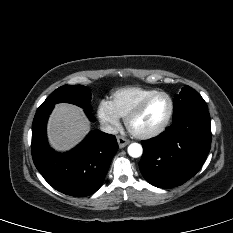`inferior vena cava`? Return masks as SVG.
<instances>
[{
    "instance_id": "602c4592",
    "label": "inferior vena cava",
    "mask_w": 233,
    "mask_h": 233,
    "mask_svg": "<svg viewBox=\"0 0 233 233\" xmlns=\"http://www.w3.org/2000/svg\"><path fill=\"white\" fill-rule=\"evenodd\" d=\"M100 129H101V131L108 133V134H117L118 133V129L114 126H111L108 123H101Z\"/></svg>"
}]
</instances>
